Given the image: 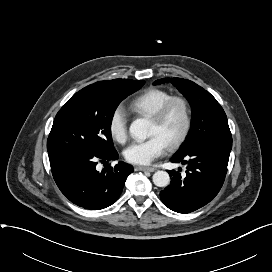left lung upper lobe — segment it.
<instances>
[{
  "label": "left lung upper lobe",
  "mask_w": 272,
  "mask_h": 272,
  "mask_svg": "<svg viewBox=\"0 0 272 272\" xmlns=\"http://www.w3.org/2000/svg\"><path fill=\"white\" fill-rule=\"evenodd\" d=\"M169 82L186 97L192 108L190 131L176 153L188 151L206 141L231 138L226 114L208 91L182 78H163L156 80L154 85Z\"/></svg>",
  "instance_id": "left-lung-upper-lobe-1"
}]
</instances>
